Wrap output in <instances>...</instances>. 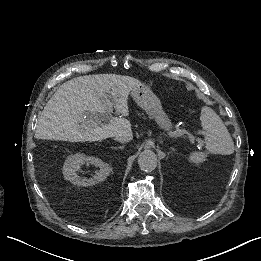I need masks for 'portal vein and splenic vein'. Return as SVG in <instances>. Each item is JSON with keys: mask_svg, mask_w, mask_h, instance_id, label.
<instances>
[{"mask_svg": "<svg viewBox=\"0 0 261 261\" xmlns=\"http://www.w3.org/2000/svg\"><path fill=\"white\" fill-rule=\"evenodd\" d=\"M109 116L105 115L104 120H108ZM86 126H90V127H96L98 126L97 122H95L94 120H89L86 122ZM180 130V132H183V135L187 134V137L192 141V142H198V144L200 146H203L205 144V141L203 139H201V137H196L192 132H189L188 130L185 129H177Z\"/></svg>", "mask_w": 261, "mask_h": 261, "instance_id": "obj_1", "label": "portal vein and splenic vein"}]
</instances>
